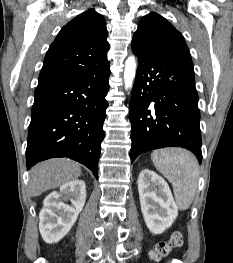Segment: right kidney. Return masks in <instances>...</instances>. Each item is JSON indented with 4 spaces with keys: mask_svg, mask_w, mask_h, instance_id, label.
Returning <instances> with one entry per match:
<instances>
[{
    "mask_svg": "<svg viewBox=\"0 0 233 263\" xmlns=\"http://www.w3.org/2000/svg\"><path fill=\"white\" fill-rule=\"evenodd\" d=\"M86 200V186L82 180H72L51 192L40 211L39 230L43 240L52 244L59 242L76 222ZM71 201V205L66 204Z\"/></svg>",
    "mask_w": 233,
    "mask_h": 263,
    "instance_id": "right-kidney-1",
    "label": "right kidney"
}]
</instances>
